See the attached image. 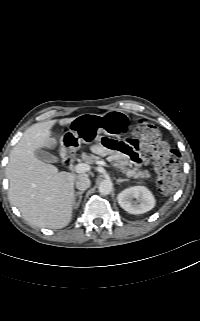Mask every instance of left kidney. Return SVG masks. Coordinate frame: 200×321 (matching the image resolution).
Masks as SVG:
<instances>
[{
	"label": "left kidney",
	"mask_w": 200,
	"mask_h": 321,
	"mask_svg": "<svg viewBox=\"0 0 200 321\" xmlns=\"http://www.w3.org/2000/svg\"><path fill=\"white\" fill-rule=\"evenodd\" d=\"M117 199L119 205L130 214H143L155 206V198L145 186L127 188L118 194Z\"/></svg>",
	"instance_id": "5707ae66"
}]
</instances>
